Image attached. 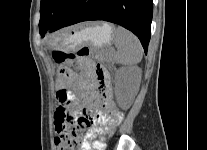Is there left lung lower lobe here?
Instances as JSON below:
<instances>
[{
    "instance_id": "0a47b994",
    "label": "left lung lower lobe",
    "mask_w": 207,
    "mask_h": 150,
    "mask_svg": "<svg viewBox=\"0 0 207 150\" xmlns=\"http://www.w3.org/2000/svg\"><path fill=\"white\" fill-rule=\"evenodd\" d=\"M152 13V0H75L50 32L83 21L104 20L133 32L140 39L146 53L150 41ZM44 35L45 33L42 37Z\"/></svg>"
}]
</instances>
